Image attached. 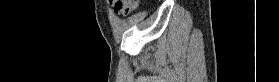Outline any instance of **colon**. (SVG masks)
<instances>
[{
	"label": "colon",
	"instance_id": "5ec220e1",
	"mask_svg": "<svg viewBox=\"0 0 279 82\" xmlns=\"http://www.w3.org/2000/svg\"><path fill=\"white\" fill-rule=\"evenodd\" d=\"M110 2L112 4H124L128 7H133V6H137V4L139 3L138 0H125V1H117V0H110Z\"/></svg>",
	"mask_w": 279,
	"mask_h": 82
}]
</instances>
